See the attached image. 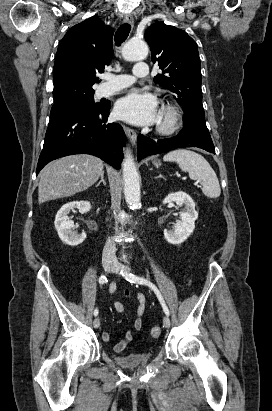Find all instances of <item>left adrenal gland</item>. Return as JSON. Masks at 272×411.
<instances>
[{
  "instance_id": "a2214340",
  "label": "left adrenal gland",
  "mask_w": 272,
  "mask_h": 411,
  "mask_svg": "<svg viewBox=\"0 0 272 411\" xmlns=\"http://www.w3.org/2000/svg\"><path fill=\"white\" fill-rule=\"evenodd\" d=\"M155 178H163V175L162 174H159L157 177H155Z\"/></svg>"
}]
</instances>
